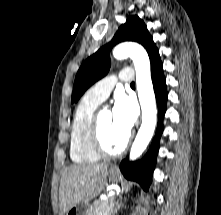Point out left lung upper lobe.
<instances>
[{"label": "left lung upper lobe", "instance_id": "left-lung-upper-lobe-1", "mask_svg": "<svg viewBox=\"0 0 221 215\" xmlns=\"http://www.w3.org/2000/svg\"><path fill=\"white\" fill-rule=\"evenodd\" d=\"M125 41H133L143 45L150 60L158 53L144 22L136 15L128 17L126 23L119 27L111 42L101 47L81 65L75 77L72 103L77 102L91 85L106 76L111 66V48Z\"/></svg>", "mask_w": 221, "mask_h": 215}]
</instances>
